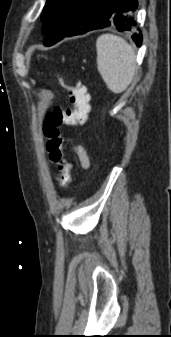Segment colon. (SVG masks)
<instances>
[{"mask_svg": "<svg viewBox=\"0 0 171 337\" xmlns=\"http://www.w3.org/2000/svg\"><path fill=\"white\" fill-rule=\"evenodd\" d=\"M59 84L67 90L70 106L55 107L48 111L43 120L42 133L46 139V150L50 159L58 167L57 182L61 188L67 189L71 184L73 165L65 155V139L60 129L63 126L82 125L86 122L89 94L86 86L80 82H71L59 77Z\"/></svg>", "mask_w": 171, "mask_h": 337, "instance_id": "colon-1", "label": "colon"}]
</instances>
